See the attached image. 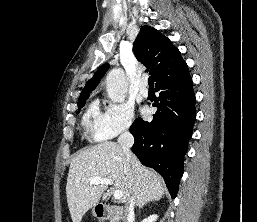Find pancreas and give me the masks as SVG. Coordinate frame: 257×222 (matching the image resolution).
<instances>
[{"mask_svg": "<svg viewBox=\"0 0 257 222\" xmlns=\"http://www.w3.org/2000/svg\"><path fill=\"white\" fill-rule=\"evenodd\" d=\"M110 222H116L115 219H112Z\"/></svg>", "mask_w": 257, "mask_h": 222, "instance_id": "1", "label": "pancreas"}]
</instances>
